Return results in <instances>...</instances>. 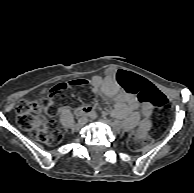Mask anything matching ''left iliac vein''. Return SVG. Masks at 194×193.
Masks as SVG:
<instances>
[{"instance_id":"obj_1","label":"left iliac vein","mask_w":194,"mask_h":193,"mask_svg":"<svg viewBox=\"0 0 194 193\" xmlns=\"http://www.w3.org/2000/svg\"><path fill=\"white\" fill-rule=\"evenodd\" d=\"M103 122L111 126L115 132H119L121 129V124H119L117 121H110V120L104 119Z\"/></svg>"}]
</instances>
